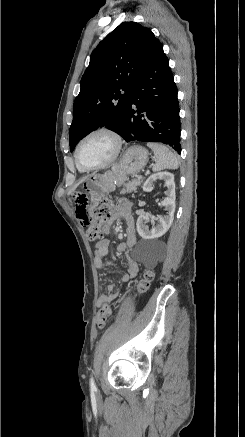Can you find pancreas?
<instances>
[{"label":"pancreas","instance_id":"1","mask_svg":"<svg viewBox=\"0 0 245 437\" xmlns=\"http://www.w3.org/2000/svg\"><path fill=\"white\" fill-rule=\"evenodd\" d=\"M143 182L142 178H138V179H134L128 183L125 184V187L122 189L121 193L122 194H126V193H131L133 191H136L138 186H140V184Z\"/></svg>","mask_w":245,"mask_h":437}]
</instances>
